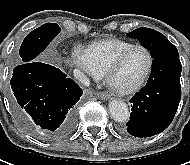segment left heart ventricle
I'll use <instances>...</instances> for the list:
<instances>
[{
  "instance_id": "obj_1",
  "label": "left heart ventricle",
  "mask_w": 190,
  "mask_h": 165,
  "mask_svg": "<svg viewBox=\"0 0 190 165\" xmlns=\"http://www.w3.org/2000/svg\"><path fill=\"white\" fill-rule=\"evenodd\" d=\"M148 55L142 49L131 51L124 58L113 77V82L120 87H128L138 82L148 66Z\"/></svg>"
}]
</instances>
